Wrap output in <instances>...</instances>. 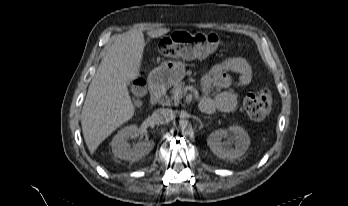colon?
Segmentation results:
<instances>
[{"label":"colon","mask_w":348,"mask_h":206,"mask_svg":"<svg viewBox=\"0 0 348 206\" xmlns=\"http://www.w3.org/2000/svg\"><path fill=\"white\" fill-rule=\"evenodd\" d=\"M199 34L188 32H176L171 36L163 39L159 46V53L167 58H179L190 55V46L197 40ZM212 34H204L202 37L211 42ZM215 42L222 45V39L215 36ZM134 90L143 92L144 80L137 78L134 81ZM243 106L248 116L255 121L264 119L270 112L272 106V95L267 88H260L249 93L243 102Z\"/></svg>","instance_id":"colon-1"}]
</instances>
